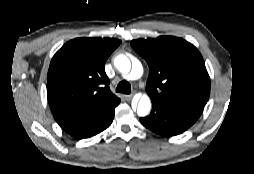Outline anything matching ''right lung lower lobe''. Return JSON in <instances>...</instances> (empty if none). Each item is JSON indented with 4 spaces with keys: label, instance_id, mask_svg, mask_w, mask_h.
<instances>
[{
    "label": "right lung lower lobe",
    "instance_id": "1",
    "mask_svg": "<svg viewBox=\"0 0 254 174\" xmlns=\"http://www.w3.org/2000/svg\"><path fill=\"white\" fill-rule=\"evenodd\" d=\"M117 105L93 108L60 126L77 139L89 138L110 126Z\"/></svg>",
    "mask_w": 254,
    "mask_h": 174
}]
</instances>
